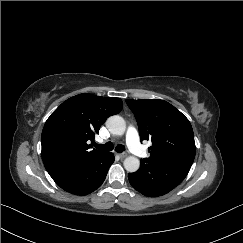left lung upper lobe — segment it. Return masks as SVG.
Instances as JSON below:
<instances>
[{
    "instance_id": "left-lung-upper-lobe-1",
    "label": "left lung upper lobe",
    "mask_w": 243,
    "mask_h": 243,
    "mask_svg": "<svg viewBox=\"0 0 243 243\" xmlns=\"http://www.w3.org/2000/svg\"><path fill=\"white\" fill-rule=\"evenodd\" d=\"M135 115L141 141L151 140L150 157L143 163L172 158L194 159L196 147L189 120L173 105L159 99H126Z\"/></svg>"
}]
</instances>
